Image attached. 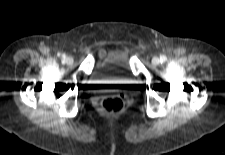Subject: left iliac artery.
I'll return each mask as SVG.
<instances>
[{
	"label": "left iliac artery",
	"instance_id": "44dca946",
	"mask_svg": "<svg viewBox=\"0 0 225 155\" xmlns=\"http://www.w3.org/2000/svg\"><path fill=\"white\" fill-rule=\"evenodd\" d=\"M160 61H161V62L166 61V56L162 55V56L160 57Z\"/></svg>",
	"mask_w": 225,
	"mask_h": 155
}]
</instances>
